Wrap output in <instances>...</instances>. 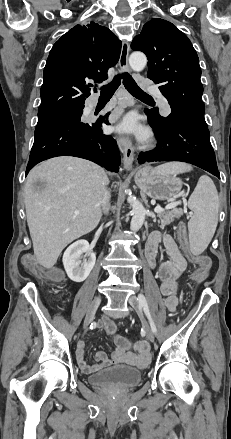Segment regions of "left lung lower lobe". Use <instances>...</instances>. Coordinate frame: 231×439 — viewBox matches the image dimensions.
Wrapping results in <instances>:
<instances>
[{
	"label": "left lung lower lobe",
	"mask_w": 231,
	"mask_h": 439,
	"mask_svg": "<svg viewBox=\"0 0 231 439\" xmlns=\"http://www.w3.org/2000/svg\"><path fill=\"white\" fill-rule=\"evenodd\" d=\"M145 113L158 144L156 149L140 153L139 164L156 161L187 162L220 178L208 127L178 115L170 114L160 121L149 110H145Z\"/></svg>",
	"instance_id": "left-lung-lower-lobe-1"
}]
</instances>
